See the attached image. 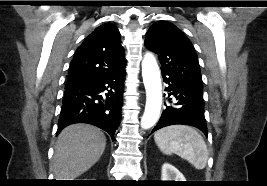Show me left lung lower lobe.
Masks as SVG:
<instances>
[{
    "label": "left lung lower lobe",
    "instance_id": "obj_1",
    "mask_svg": "<svg viewBox=\"0 0 267 186\" xmlns=\"http://www.w3.org/2000/svg\"><path fill=\"white\" fill-rule=\"evenodd\" d=\"M162 77L163 81L168 83L165 90L169 92V96H173L169 98L170 103L173 102V104L165 105L152 133L166 126L182 124L197 127L207 136L202 90L166 72H162Z\"/></svg>",
    "mask_w": 267,
    "mask_h": 186
}]
</instances>
